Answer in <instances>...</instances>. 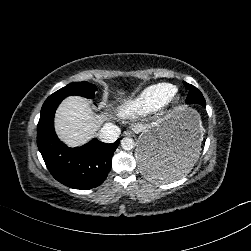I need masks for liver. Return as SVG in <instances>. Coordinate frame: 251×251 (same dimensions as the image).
Masks as SVG:
<instances>
[{"instance_id": "1", "label": "liver", "mask_w": 251, "mask_h": 251, "mask_svg": "<svg viewBox=\"0 0 251 251\" xmlns=\"http://www.w3.org/2000/svg\"><path fill=\"white\" fill-rule=\"evenodd\" d=\"M103 122L102 116H94L87 99L80 96L66 98L55 115V130L68 146L86 143L96 135ZM145 129L142 124L133 126L135 132Z\"/></svg>"}]
</instances>
